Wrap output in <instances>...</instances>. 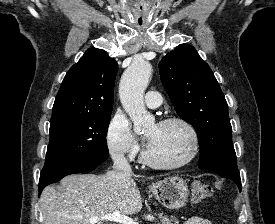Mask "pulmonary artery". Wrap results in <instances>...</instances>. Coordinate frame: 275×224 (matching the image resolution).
<instances>
[{
    "instance_id": "e3ab8cb5",
    "label": "pulmonary artery",
    "mask_w": 275,
    "mask_h": 224,
    "mask_svg": "<svg viewBox=\"0 0 275 224\" xmlns=\"http://www.w3.org/2000/svg\"><path fill=\"white\" fill-rule=\"evenodd\" d=\"M161 103V96L156 91H148L145 97V104L150 108L159 107Z\"/></svg>"
}]
</instances>
